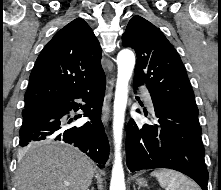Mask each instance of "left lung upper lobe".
I'll return each mask as SVG.
<instances>
[{
	"mask_svg": "<svg viewBox=\"0 0 221 190\" xmlns=\"http://www.w3.org/2000/svg\"><path fill=\"white\" fill-rule=\"evenodd\" d=\"M122 45L136 51L134 80L146 85L159 103L198 117L186 69L175 48L152 23L134 16L122 36Z\"/></svg>",
	"mask_w": 221,
	"mask_h": 190,
	"instance_id": "5c2ea615",
	"label": "left lung upper lobe"
}]
</instances>
